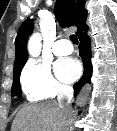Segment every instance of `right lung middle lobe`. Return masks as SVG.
<instances>
[{
    "instance_id": "obj_1",
    "label": "right lung middle lobe",
    "mask_w": 117,
    "mask_h": 131,
    "mask_svg": "<svg viewBox=\"0 0 117 131\" xmlns=\"http://www.w3.org/2000/svg\"><path fill=\"white\" fill-rule=\"evenodd\" d=\"M21 70L22 69H20L17 74L13 75L14 81H13V84H12V96L21 97V94H22V91H21V88H20V73H21Z\"/></svg>"
}]
</instances>
